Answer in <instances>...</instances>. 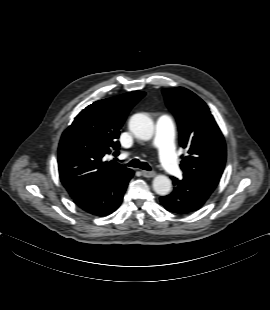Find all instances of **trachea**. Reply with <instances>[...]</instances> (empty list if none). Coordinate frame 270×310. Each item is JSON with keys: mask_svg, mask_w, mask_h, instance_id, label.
Here are the masks:
<instances>
[{"mask_svg": "<svg viewBox=\"0 0 270 310\" xmlns=\"http://www.w3.org/2000/svg\"><path fill=\"white\" fill-rule=\"evenodd\" d=\"M129 167L140 168L143 170L150 171L151 168L146 162H141L139 159H132L129 163L126 164Z\"/></svg>", "mask_w": 270, "mask_h": 310, "instance_id": "3493384b", "label": "trachea"}]
</instances>
